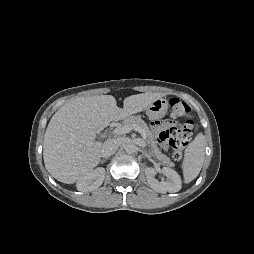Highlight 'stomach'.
I'll list each match as a JSON object with an SVG mask.
<instances>
[{
	"instance_id": "1",
	"label": "stomach",
	"mask_w": 254,
	"mask_h": 254,
	"mask_svg": "<svg viewBox=\"0 0 254 254\" xmlns=\"http://www.w3.org/2000/svg\"><path fill=\"white\" fill-rule=\"evenodd\" d=\"M167 110V100L164 98H158L146 108V114L150 119L157 120L163 118L166 115Z\"/></svg>"
}]
</instances>
